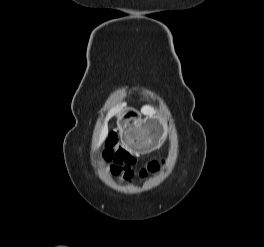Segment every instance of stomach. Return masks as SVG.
<instances>
[{
	"mask_svg": "<svg viewBox=\"0 0 264 247\" xmlns=\"http://www.w3.org/2000/svg\"><path fill=\"white\" fill-rule=\"evenodd\" d=\"M123 143L137 153H148L158 148L165 139V124L157 116L136 119L129 111L118 115Z\"/></svg>",
	"mask_w": 264,
	"mask_h": 247,
	"instance_id": "0dacf381",
	"label": "stomach"
}]
</instances>
